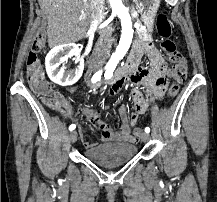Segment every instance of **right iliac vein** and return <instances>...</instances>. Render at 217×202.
Masks as SVG:
<instances>
[{
    "label": "right iliac vein",
    "instance_id": "1",
    "mask_svg": "<svg viewBox=\"0 0 217 202\" xmlns=\"http://www.w3.org/2000/svg\"><path fill=\"white\" fill-rule=\"evenodd\" d=\"M77 136H78V134H77L76 131H72L70 133V140H71L72 143H75L77 141Z\"/></svg>",
    "mask_w": 217,
    "mask_h": 202
}]
</instances>
